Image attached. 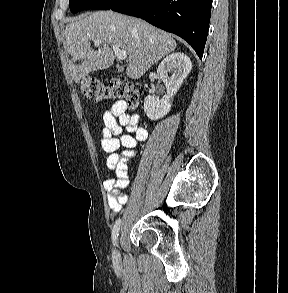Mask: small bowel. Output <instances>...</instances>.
Masks as SVG:
<instances>
[{
	"instance_id": "obj_1",
	"label": "small bowel",
	"mask_w": 288,
	"mask_h": 293,
	"mask_svg": "<svg viewBox=\"0 0 288 293\" xmlns=\"http://www.w3.org/2000/svg\"><path fill=\"white\" fill-rule=\"evenodd\" d=\"M138 114H129L124 101L115 102L103 115L101 147L108 154L107 167L115 173L104 181L108 205L112 212L118 213L127 202L123 189L128 185V165L136 154L138 142L145 141L148 131L139 123ZM122 146L124 150L118 153Z\"/></svg>"
}]
</instances>
